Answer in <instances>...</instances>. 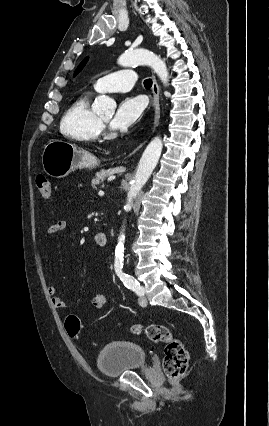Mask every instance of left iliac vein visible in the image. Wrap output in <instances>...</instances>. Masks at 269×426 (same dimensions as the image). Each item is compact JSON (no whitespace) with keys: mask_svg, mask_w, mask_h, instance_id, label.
<instances>
[{"mask_svg":"<svg viewBox=\"0 0 269 426\" xmlns=\"http://www.w3.org/2000/svg\"><path fill=\"white\" fill-rule=\"evenodd\" d=\"M142 287V286H141ZM139 304L142 306V307H145L146 305H147V298L146 297H140L139 298Z\"/></svg>","mask_w":269,"mask_h":426,"instance_id":"4c4485c4","label":"left iliac vein"}]
</instances>
